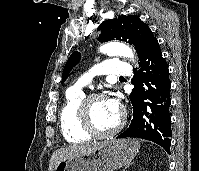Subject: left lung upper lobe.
Returning a JSON list of instances; mask_svg holds the SVG:
<instances>
[{"instance_id": "1", "label": "left lung upper lobe", "mask_w": 199, "mask_h": 171, "mask_svg": "<svg viewBox=\"0 0 199 171\" xmlns=\"http://www.w3.org/2000/svg\"><path fill=\"white\" fill-rule=\"evenodd\" d=\"M98 29H101V34L98 37L100 42L114 39L128 42L134 45L139 58L144 50L156 40L150 28L138 16H124L106 20ZM80 58L81 54L79 52L72 53L64 67L62 83L66 80L71 69L79 62Z\"/></svg>"}]
</instances>
